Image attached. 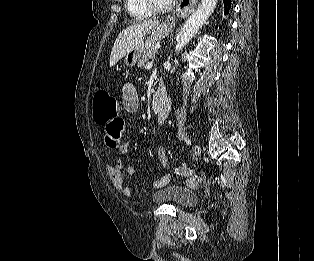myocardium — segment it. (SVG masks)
<instances>
[{
  "mask_svg": "<svg viewBox=\"0 0 314 261\" xmlns=\"http://www.w3.org/2000/svg\"><path fill=\"white\" fill-rule=\"evenodd\" d=\"M147 7L154 13H166L169 12L175 4V0H171L166 5H159L156 0H144Z\"/></svg>",
  "mask_w": 314,
  "mask_h": 261,
  "instance_id": "f54148a6",
  "label": "myocardium"
}]
</instances>
